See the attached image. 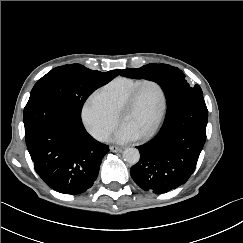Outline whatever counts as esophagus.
Returning a JSON list of instances; mask_svg holds the SVG:
<instances>
[{"mask_svg":"<svg viewBox=\"0 0 243 243\" xmlns=\"http://www.w3.org/2000/svg\"><path fill=\"white\" fill-rule=\"evenodd\" d=\"M123 147H118V146H111L110 147V150L112 151V152H122L123 151Z\"/></svg>","mask_w":243,"mask_h":243,"instance_id":"34e87169","label":"esophagus"}]
</instances>
